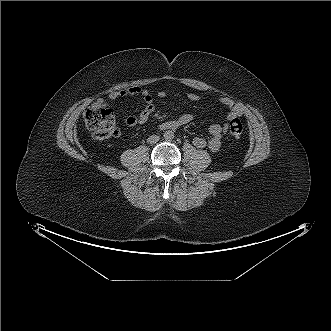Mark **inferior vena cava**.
I'll return each mask as SVG.
<instances>
[{"instance_id": "1", "label": "inferior vena cava", "mask_w": 331, "mask_h": 331, "mask_svg": "<svg viewBox=\"0 0 331 331\" xmlns=\"http://www.w3.org/2000/svg\"><path fill=\"white\" fill-rule=\"evenodd\" d=\"M159 140H160V137H159V136H157V135H152V136H150V137L147 139V142H148L149 144H155V143H157Z\"/></svg>"}]
</instances>
